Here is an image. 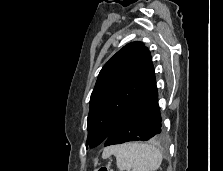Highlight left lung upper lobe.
I'll return each mask as SVG.
<instances>
[{"label": "left lung upper lobe", "mask_w": 223, "mask_h": 171, "mask_svg": "<svg viewBox=\"0 0 223 171\" xmlns=\"http://www.w3.org/2000/svg\"><path fill=\"white\" fill-rule=\"evenodd\" d=\"M153 72L151 54L142 42L125 45L109 59L91 94L86 145L105 142Z\"/></svg>", "instance_id": "1"}]
</instances>
